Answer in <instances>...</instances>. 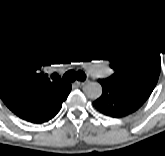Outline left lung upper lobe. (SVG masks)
<instances>
[{"mask_svg":"<svg viewBox=\"0 0 165 156\" xmlns=\"http://www.w3.org/2000/svg\"><path fill=\"white\" fill-rule=\"evenodd\" d=\"M93 47L98 56L110 61L114 70L106 80L144 103L159 78V45L131 25L104 24L95 32Z\"/></svg>","mask_w":165,"mask_h":156,"instance_id":"5c2ea615","label":"left lung upper lobe"}]
</instances>
